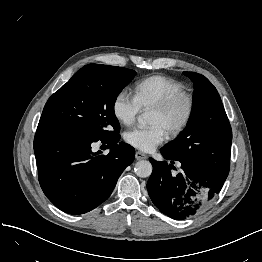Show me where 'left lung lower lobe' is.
I'll list each match as a JSON object with an SVG mask.
<instances>
[{
    "mask_svg": "<svg viewBox=\"0 0 262 262\" xmlns=\"http://www.w3.org/2000/svg\"><path fill=\"white\" fill-rule=\"evenodd\" d=\"M165 159L179 161L181 170L176 175L172 165L149 158L153 172L147 182V191L153 204L165 215L177 220L194 216L204 209L221 190L229 173V165L221 172L205 173L193 164L177 160L167 153Z\"/></svg>",
    "mask_w": 262,
    "mask_h": 262,
    "instance_id": "0a47b994",
    "label": "left lung lower lobe"
}]
</instances>
